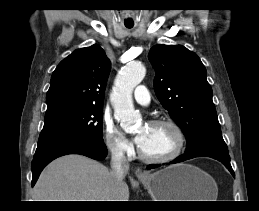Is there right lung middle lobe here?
Masks as SVG:
<instances>
[{"instance_id": "dd1d6c3e", "label": "right lung middle lobe", "mask_w": 259, "mask_h": 211, "mask_svg": "<svg viewBox=\"0 0 259 211\" xmlns=\"http://www.w3.org/2000/svg\"><path fill=\"white\" fill-rule=\"evenodd\" d=\"M103 106L88 107L62 118L44 122L41 138L77 135L103 141L102 112Z\"/></svg>"}]
</instances>
